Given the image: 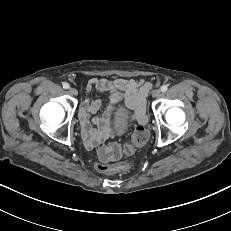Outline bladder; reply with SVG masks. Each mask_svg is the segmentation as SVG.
Wrapping results in <instances>:
<instances>
[{
	"label": "bladder",
	"mask_w": 231,
	"mask_h": 231,
	"mask_svg": "<svg viewBox=\"0 0 231 231\" xmlns=\"http://www.w3.org/2000/svg\"><path fill=\"white\" fill-rule=\"evenodd\" d=\"M119 125H120V132L125 131V129H126L127 125H128L126 115L123 112H121L119 114Z\"/></svg>",
	"instance_id": "bladder-1"
}]
</instances>
